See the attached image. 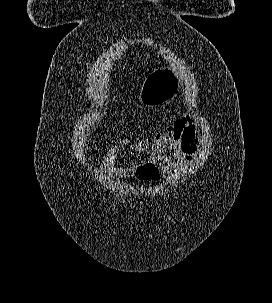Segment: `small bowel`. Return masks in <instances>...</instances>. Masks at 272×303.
<instances>
[{
    "instance_id": "obj_1",
    "label": "small bowel",
    "mask_w": 272,
    "mask_h": 303,
    "mask_svg": "<svg viewBox=\"0 0 272 303\" xmlns=\"http://www.w3.org/2000/svg\"><path fill=\"white\" fill-rule=\"evenodd\" d=\"M202 133L193 117L177 114L165 133L158 134L152 142L146 139H122L111 146L104 156L103 165L107 171L121 177H130L139 168L138 164L116 166V159L128 154H148L145 164L159 167L168 178L176 177L183 167L192 162L201 146ZM144 165V164H143Z\"/></svg>"
}]
</instances>
